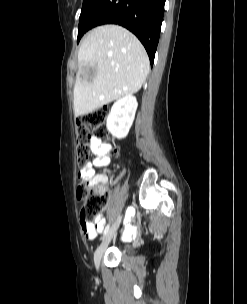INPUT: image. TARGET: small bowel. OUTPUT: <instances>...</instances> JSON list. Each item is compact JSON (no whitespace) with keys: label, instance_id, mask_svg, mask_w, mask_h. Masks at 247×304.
<instances>
[{"label":"small bowel","instance_id":"obj_1","mask_svg":"<svg viewBox=\"0 0 247 304\" xmlns=\"http://www.w3.org/2000/svg\"><path fill=\"white\" fill-rule=\"evenodd\" d=\"M90 149L93 155L92 161L88 162L78 173V177L82 181H91L92 183H103L106 178L102 175H97L95 168L105 167L110 162L109 153L111 146L98 137H92L90 140ZM105 226V218L100 215L94 223L84 224L81 222L82 230L85 236L93 240L103 231ZM137 230L135 227L129 226L123 232L125 240L136 237Z\"/></svg>","mask_w":247,"mask_h":304}]
</instances>
